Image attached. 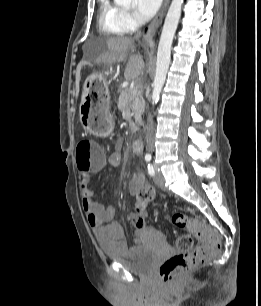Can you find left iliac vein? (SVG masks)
I'll list each match as a JSON object with an SVG mask.
<instances>
[{
	"label": "left iliac vein",
	"mask_w": 261,
	"mask_h": 306,
	"mask_svg": "<svg viewBox=\"0 0 261 306\" xmlns=\"http://www.w3.org/2000/svg\"><path fill=\"white\" fill-rule=\"evenodd\" d=\"M154 182L158 187L160 188L164 187V178L160 172H156L155 177H154Z\"/></svg>",
	"instance_id": "obj_1"
}]
</instances>
